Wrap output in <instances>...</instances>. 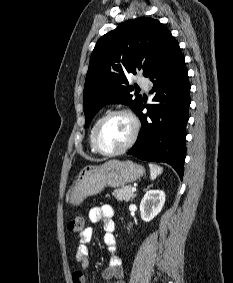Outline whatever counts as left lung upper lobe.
<instances>
[{"instance_id": "5c2ea615", "label": "left lung upper lobe", "mask_w": 233, "mask_h": 283, "mask_svg": "<svg viewBox=\"0 0 233 283\" xmlns=\"http://www.w3.org/2000/svg\"><path fill=\"white\" fill-rule=\"evenodd\" d=\"M178 42L158 20L136 18L102 36L92 52L83 92L85 127L95 113L112 103L129 105L135 112L142 97L133 99L126 75L143 71L148 77Z\"/></svg>"}]
</instances>
